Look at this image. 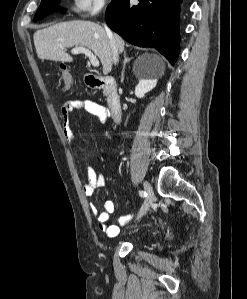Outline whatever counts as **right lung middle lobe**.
Listing matches in <instances>:
<instances>
[{
	"mask_svg": "<svg viewBox=\"0 0 247 299\" xmlns=\"http://www.w3.org/2000/svg\"><path fill=\"white\" fill-rule=\"evenodd\" d=\"M59 1L60 0H42L38 11L34 16V21L42 19L54 11L59 10L57 7Z\"/></svg>",
	"mask_w": 247,
	"mask_h": 299,
	"instance_id": "dd1d6c3e",
	"label": "right lung middle lobe"
}]
</instances>
